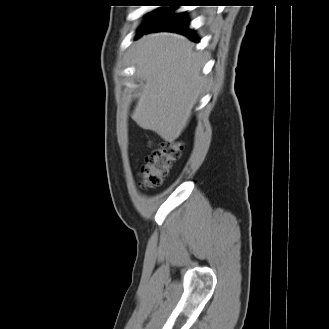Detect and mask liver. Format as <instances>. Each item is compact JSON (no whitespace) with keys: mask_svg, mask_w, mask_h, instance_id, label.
I'll list each match as a JSON object with an SVG mask.
<instances>
[{"mask_svg":"<svg viewBox=\"0 0 329 329\" xmlns=\"http://www.w3.org/2000/svg\"><path fill=\"white\" fill-rule=\"evenodd\" d=\"M133 65L143 82L133 120L173 142L186 128L203 87V57L186 37L161 32L141 37Z\"/></svg>","mask_w":329,"mask_h":329,"instance_id":"6515ba94","label":"liver"}]
</instances>
